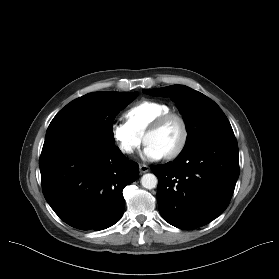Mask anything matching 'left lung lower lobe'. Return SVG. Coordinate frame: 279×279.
Instances as JSON below:
<instances>
[{
    "mask_svg": "<svg viewBox=\"0 0 279 279\" xmlns=\"http://www.w3.org/2000/svg\"><path fill=\"white\" fill-rule=\"evenodd\" d=\"M158 177L157 201L169 224L192 230L217 218L228 206L239 176L235 137L202 141L174 162L151 168Z\"/></svg>",
    "mask_w": 279,
    "mask_h": 279,
    "instance_id": "left-lung-lower-lobe-1",
    "label": "left lung lower lobe"
}]
</instances>
